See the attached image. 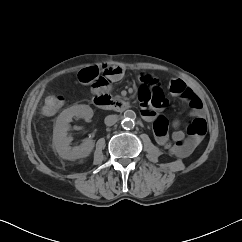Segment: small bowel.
<instances>
[{"mask_svg":"<svg viewBox=\"0 0 242 242\" xmlns=\"http://www.w3.org/2000/svg\"><path fill=\"white\" fill-rule=\"evenodd\" d=\"M103 71L107 74L109 77V81L105 84L94 86V92H105L109 89L110 84L113 82H116L120 80L125 73V69L122 66L119 65H106L103 69ZM149 76V75H142L141 80L143 77ZM174 82H179L183 86V91H191V89L188 87V85L180 80V79H172L170 82V89ZM172 91V90H171ZM173 93V92H172ZM174 95L180 96L178 94L173 93ZM188 104L189 102L183 98ZM139 100L141 102V112L143 117L154 124V130L156 135V140L160 145H168L171 140L174 141L173 145V152L180 156V157H186L192 153V151L200 144L202 141L204 135H201L197 132L193 134L188 133V129L194 128V124L196 122H201L205 125L207 129V124L205 117L203 115V104L201 100L198 98V103L196 105H190L191 111L190 115L193 118L191 124L187 128L188 136L185 135L184 131L180 128V121L178 119H174L172 121V127L173 130L170 133L168 131V120L167 118L160 114L157 109L154 107V104L151 101L142 99L139 94ZM164 105V100L161 102L160 106ZM53 114V113H51ZM50 115V114H49ZM158 124H162V128L157 130L155 127Z\"/></svg>","mask_w":242,"mask_h":242,"instance_id":"1","label":"small bowel"}]
</instances>
